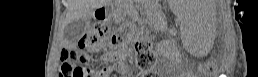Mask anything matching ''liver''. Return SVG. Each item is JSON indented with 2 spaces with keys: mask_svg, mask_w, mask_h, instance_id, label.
<instances>
[{
  "mask_svg": "<svg viewBox=\"0 0 258 77\" xmlns=\"http://www.w3.org/2000/svg\"><path fill=\"white\" fill-rule=\"evenodd\" d=\"M108 3V0H66V23L87 16L95 8H100Z\"/></svg>",
  "mask_w": 258,
  "mask_h": 77,
  "instance_id": "6515ba94",
  "label": "liver"
}]
</instances>
